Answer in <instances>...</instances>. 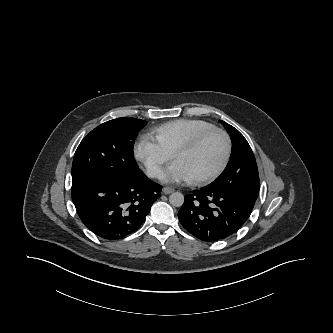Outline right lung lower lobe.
Wrapping results in <instances>:
<instances>
[{"label":"right lung lower lobe","mask_w":333,"mask_h":333,"mask_svg":"<svg viewBox=\"0 0 333 333\" xmlns=\"http://www.w3.org/2000/svg\"><path fill=\"white\" fill-rule=\"evenodd\" d=\"M162 186L139 169L127 180L95 177L72 184V200L83 224L106 240L135 232L161 196Z\"/></svg>","instance_id":"98d812e1"}]
</instances>
